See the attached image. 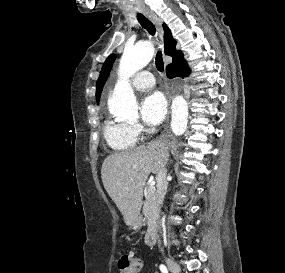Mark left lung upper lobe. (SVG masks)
Listing matches in <instances>:
<instances>
[{
  "label": "left lung upper lobe",
  "instance_id": "5c2ea615",
  "mask_svg": "<svg viewBox=\"0 0 285 273\" xmlns=\"http://www.w3.org/2000/svg\"><path fill=\"white\" fill-rule=\"evenodd\" d=\"M114 61H115V55H111L110 57L107 58V60L105 61L104 65L101 69L99 79L96 83V99H97V102L99 101L100 94H101L103 86H104V84L108 78V75L111 71L112 64Z\"/></svg>",
  "mask_w": 285,
  "mask_h": 273
}]
</instances>
